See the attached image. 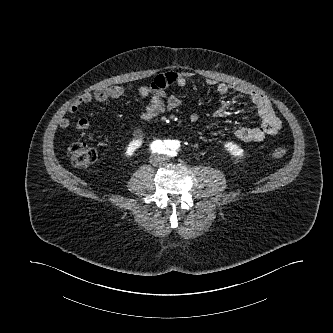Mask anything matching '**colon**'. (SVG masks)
I'll return each instance as SVG.
<instances>
[{
	"label": "colon",
	"mask_w": 333,
	"mask_h": 333,
	"mask_svg": "<svg viewBox=\"0 0 333 333\" xmlns=\"http://www.w3.org/2000/svg\"><path fill=\"white\" fill-rule=\"evenodd\" d=\"M71 163L78 168L87 167L97 158L96 150L87 143H75L68 149ZM274 159H283L287 156L285 148H276L269 154Z\"/></svg>",
	"instance_id": "obj_1"
}]
</instances>
